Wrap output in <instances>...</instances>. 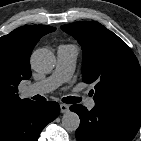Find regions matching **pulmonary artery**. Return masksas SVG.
Here are the masks:
<instances>
[{"mask_svg":"<svg viewBox=\"0 0 141 141\" xmlns=\"http://www.w3.org/2000/svg\"><path fill=\"white\" fill-rule=\"evenodd\" d=\"M78 56V49L73 45H61L57 48V62L53 73L47 78L35 82L24 89L25 96L49 93L63 83L70 80ZM86 106L92 109L95 101L92 98L86 100Z\"/></svg>","mask_w":141,"mask_h":141,"instance_id":"1","label":"pulmonary artery"}]
</instances>
